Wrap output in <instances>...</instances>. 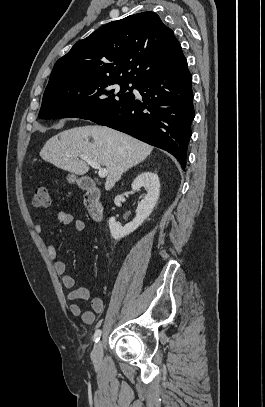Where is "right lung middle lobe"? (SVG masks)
<instances>
[{"mask_svg": "<svg viewBox=\"0 0 265 407\" xmlns=\"http://www.w3.org/2000/svg\"><path fill=\"white\" fill-rule=\"evenodd\" d=\"M128 81L89 79L48 83L43 95L39 118L77 117L93 119L134 99ZM116 85H120L118 88ZM129 90V92H127Z\"/></svg>", "mask_w": 265, "mask_h": 407, "instance_id": "dd1d6c3e", "label": "right lung middle lobe"}]
</instances>
